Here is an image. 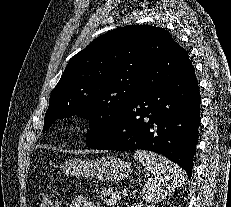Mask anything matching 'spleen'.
I'll use <instances>...</instances> for the list:
<instances>
[{
  "mask_svg": "<svg viewBox=\"0 0 231 207\" xmlns=\"http://www.w3.org/2000/svg\"><path fill=\"white\" fill-rule=\"evenodd\" d=\"M134 158L150 174L143 188V198L148 202L166 198L185 181L184 170L154 152L136 150Z\"/></svg>",
  "mask_w": 231,
  "mask_h": 207,
  "instance_id": "obj_1",
  "label": "spleen"
}]
</instances>
